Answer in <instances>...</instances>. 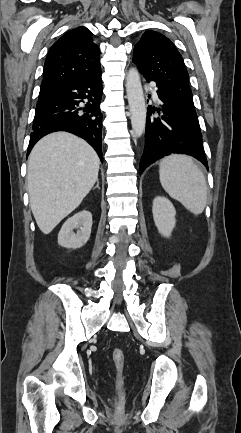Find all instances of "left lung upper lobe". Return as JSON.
I'll use <instances>...</instances> for the list:
<instances>
[{
    "mask_svg": "<svg viewBox=\"0 0 241 433\" xmlns=\"http://www.w3.org/2000/svg\"><path fill=\"white\" fill-rule=\"evenodd\" d=\"M133 62L146 80L155 81L158 89L199 125L187 69L181 54L167 37L146 31L134 46Z\"/></svg>",
    "mask_w": 241,
    "mask_h": 433,
    "instance_id": "left-lung-upper-lobe-1",
    "label": "left lung upper lobe"
}]
</instances>
